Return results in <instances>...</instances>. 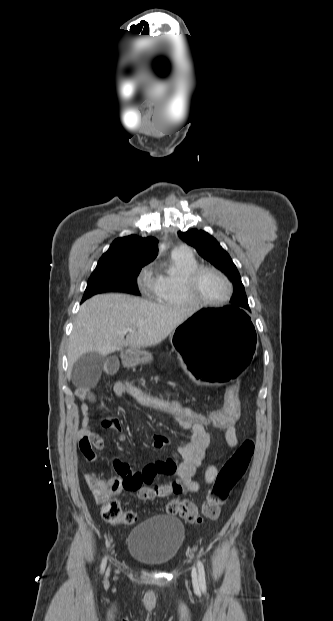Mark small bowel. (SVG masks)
<instances>
[{"instance_id": "small-bowel-1", "label": "small bowel", "mask_w": 333, "mask_h": 621, "mask_svg": "<svg viewBox=\"0 0 333 621\" xmlns=\"http://www.w3.org/2000/svg\"><path fill=\"white\" fill-rule=\"evenodd\" d=\"M116 395H123L118 386L114 385ZM76 397L80 401L81 428L78 433L79 447L88 461H94L96 451L102 448L101 437L90 429L89 405L95 402L93 387L84 385L76 390ZM102 426L118 433L120 439L125 436L122 432L121 423L114 418L105 419ZM180 426L189 433L188 441L180 444L177 448L182 461L177 464L173 459L166 458L148 464L141 471L134 470L131 465L116 460L115 469L125 468L137 479V486L134 491L142 500H154L165 498L171 495H181L195 493L200 489V483L196 479L197 471L201 462L205 458V453L209 445V435L206 426L201 424L182 423ZM225 429V441L229 447H235L238 443L235 424L227 426ZM169 444L166 437L156 435L153 437L152 446L156 450H161ZM218 474L215 464L208 465L204 482L211 484ZM157 476L174 477L163 484H155Z\"/></svg>"}]
</instances>
